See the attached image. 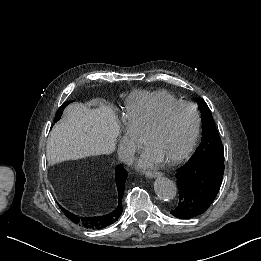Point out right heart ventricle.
<instances>
[{
	"label": "right heart ventricle",
	"instance_id": "obj_1",
	"mask_svg": "<svg viewBox=\"0 0 261 261\" xmlns=\"http://www.w3.org/2000/svg\"><path fill=\"white\" fill-rule=\"evenodd\" d=\"M175 101H179L178 97L165 89L136 90L121 100L120 107L125 118L138 121L140 117L152 114L165 104Z\"/></svg>",
	"mask_w": 261,
	"mask_h": 261
}]
</instances>
